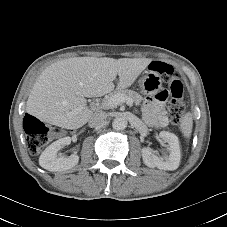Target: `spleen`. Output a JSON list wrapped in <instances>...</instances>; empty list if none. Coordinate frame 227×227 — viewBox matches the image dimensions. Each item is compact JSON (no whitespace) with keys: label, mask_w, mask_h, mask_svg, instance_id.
<instances>
[{"label":"spleen","mask_w":227,"mask_h":227,"mask_svg":"<svg viewBox=\"0 0 227 227\" xmlns=\"http://www.w3.org/2000/svg\"><path fill=\"white\" fill-rule=\"evenodd\" d=\"M192 127H193V118L192 114L190 112L186 113L184 116H182L180 120V129L182 134L189 138L192 133Z\"/></svg>","instance_id":"1"}]
</instances>
